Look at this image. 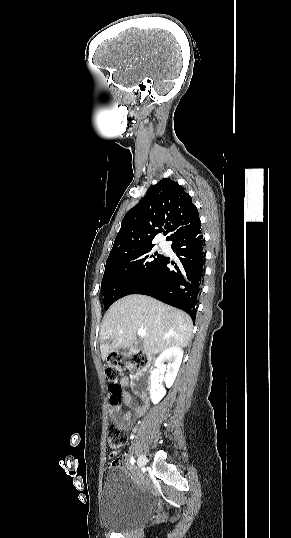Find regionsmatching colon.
Listing matches in <instances>:
<instances>
[{
  "instance_id": "5ec220e1",
  "label": "colon",
  "mask_w": 291,
  "mask_h": 538,
  "mask_svg": "<svg viewBox=\"0 0 291 538\" xmlns=\"http://www.w3.org/2000/svg\"><path fill=\"white\" fill-rule=\"evenodd\" d=\"M147 354L141 351L133 352L129 356L123 353H112L108 356L105 365L106 378L109 381V394L110 404L117 405L121 399V386L118 383L119 379L123 375L126 369L132 372H143L144 365L148 364ZM126 435L123 429L117 424L110 425L108 430V445L111 450V467L118 465V459L116 457L117 451L124 443Z\"/></svg>"
}]
</instances>
